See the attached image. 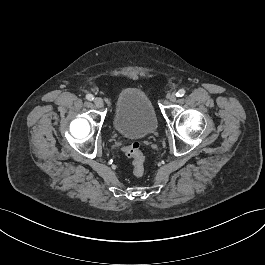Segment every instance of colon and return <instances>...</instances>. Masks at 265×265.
<instances>
[{"label":"colon","mask_w":265,"mask_h":265,"mask_svg":"<svg viewBox=\"0 0 265 265\" xmlns=\"http://www.w3.org/2000/svg\"><path fill=\"white\" fill-rule=\"evenodd\" d=\"M123 152L132 161V173L135 177H142L146 169V158L141 151L140 144L138 142L125 145Z\"/></svg>","instance_id":"5ec220e1"}]
</instances>
